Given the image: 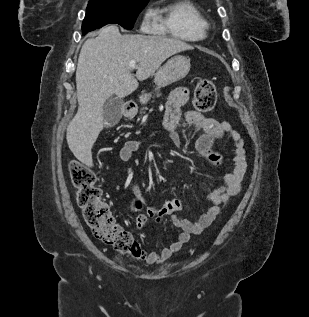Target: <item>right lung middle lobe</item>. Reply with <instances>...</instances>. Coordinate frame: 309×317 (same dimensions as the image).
<instances>
[{
    "instance_id": "obj_1",
    "label": "right lung middle lobe",
    "mask_w": 309,
    "mask_h": 317,
    "mask_svg": "<svg viewBox=\"0 0 309 317\" xmlns=\"http://www.w3.org/2000/svg\"><path fill=\"white\" fill-rule=\"evenodd\" d=\"M149 0H90L83 20V35L107 24L132 29L140 11Z\"/></svg>"
}]
</instances>
